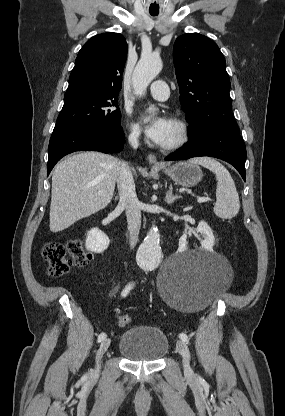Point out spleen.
Returning <instances> with one entry per match:
<instances>
[{
  "label": "spleen",
  "instance_id": "obj_1",
  "mask_svg": "<svg viewBox=\"0 0 285 416\" xmlns=\"http://www.w3.org/2000/svg\"><path fill=\"white\" fill-rule=\"evenodd\" d=\"M190 164H200L203 168L211 170L217 180L216 204L213 208L218 218L231 220L235 218L240 210V200L234 180H232L228 170L214 160V158H191Z\"/></svg>",
  "mask_w": 285,
  "mask_h": 416
}]
</instances>
